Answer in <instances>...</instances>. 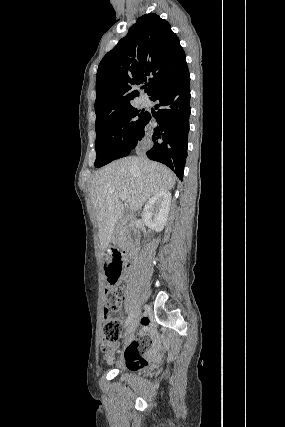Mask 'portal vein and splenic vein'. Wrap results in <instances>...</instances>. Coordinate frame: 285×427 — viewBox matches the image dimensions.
Returning <instances> with one entry per match:
<instances>
[{"instance_id":"1","label":"portal vein and splenic vein","mask_w":285,"mask_h":427,"mask_svg":"<svg viewBox=\"0 0 285 427\" xmlns=\"http://www.w3.org/2000/svg\"><path fill=\"white\" fill-rule=\"evenodd\" d=\"M119 198H120L122 201H126V196H125V194H123V193H120V194H119Z\"/></svg>"}]
</instances>
